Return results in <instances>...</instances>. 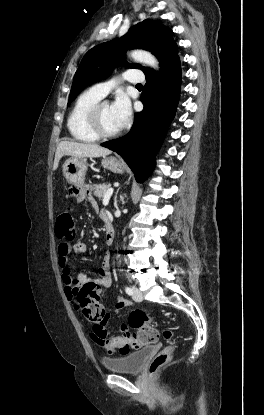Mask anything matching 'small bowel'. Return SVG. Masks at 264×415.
<instances>
[{
  "label": "small bowel",
  "instance_id": "1",
  "mask_svg": "<svg viewBox=\"0 0 264 415\" xmlns=\"http://www.w3.org/2000/svg\"><path fill=\"white\" fill-rule=\"evenodd\" d=\"M100 220L105 223L106 217H109L108 212L105 209H102L99 212ZM74 249L78 254H84L88 250V245L85 242L79 241L75 244ZM71 252V246L62 244L58 248V264L63 271V284H64V293L66 298L73 304L74 308L77 311H81V308L78 303V295L80 288L87 282H94L101 293L104 289L109 288L113 283V276L111 272V255L109 253H105L102 258V264L98 269L96 275H88L86 273H78L75 278H73L70 274V261L69 255ZM130 305V301L124 297L118 298L115 303L113 304V310L118 312ZM110 319V315L108 314L107 320ZM127 329V324L122 322L119 327L118 331L120 333H124ZM92 338L96 341H100L95 334L90 332ZM121 354L126 355L130 353L122 352Z\"/></svg>",
  "mask_w": 264,
  "mask_h": 415
}]
</instances>
